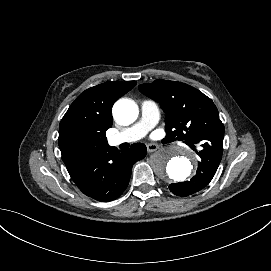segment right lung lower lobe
I'll use <instances>...</instances> for the list:
<instances>
[{
    "mask_svg": "<svg viewBox=\"0 0 271 271\" xmlns=\"http://www.w3.org/2000/svg\"><path fill=\"white\" fill-rule=\"evenodd\" d=\"M146 153V146L140 143L124 151L107 145L67 170L85 195L100 202H109L124 192L133 165L143 159Z\"/></svg>",
    "mask_w": 271,
    "mask_h": 271,
    "instance_id": "right-lung-lower-lobe-1",
    "label": "right lung lower lobe"
}]
</instances>
